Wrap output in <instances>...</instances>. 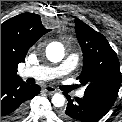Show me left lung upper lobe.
<instances>
[{
  "label": "left lung upper lobe",
  "instance_id": "left-lung-upper-lobe-1",
  "mask_svg": "<svg viewBox=\"0 0 122 122\" xmlns=\"http://www.w3.org/2000/svg\"><path fill=\"white\" fill-rule=\"evenodd\" d=\"M77 39L83 51V68L78 79L90 95L114 104L121 85L120 65L107 39L75 19Z\"/></svg>",
  "mask_w": 122,
  "mask_h": 122
}]
</instances>
